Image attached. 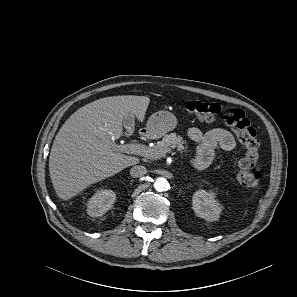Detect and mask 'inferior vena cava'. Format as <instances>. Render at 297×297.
Segmentation results:
<instances>
[{
  "label": "inferior vena cava",
  "instance_id": "1",
  "mask_svg": "<svg viewBox=\"0 0 297 297\" xmlns=\"http://www.w3.org/2000/svg\"><path fill=\"white\" fill-rule=\"evenodd\" d=\"M147 173L146 167L142 165H137L131 168L130 170V175L133 178H139L144 176Z\"/></svg>",
  "mask_w": 297,
  "mask_h": 297
}]
</instances>
